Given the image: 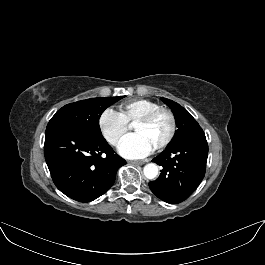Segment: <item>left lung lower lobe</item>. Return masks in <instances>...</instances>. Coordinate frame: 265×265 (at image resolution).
I'll return each instance as SVG.
<instances>
[{
    "label": "left lung lower lobe",
    "mask_w": 265,
    "mask_h": 265,
    "mask_svg": "<svg viewBox=\"0 0 265 265\" xmlns=\"http://www.w3.org/2000/svg\"><path fill=\"white\" fill-rule=\"evenodd\" d=\"M207 157L204 132L167 146L152 160L162 170L157 180L149 182L151 191L170 204L186 200L204 178Z\"/></svg>",
    "instance_id": "1"
}]
</instances>
